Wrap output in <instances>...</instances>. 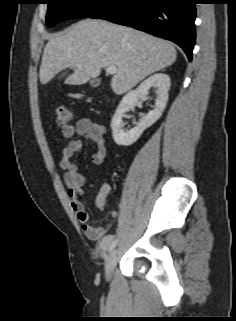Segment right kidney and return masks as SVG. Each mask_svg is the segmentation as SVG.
Returning <instances> with one entry per match:
<instances>
[{"label":"right kidney","instance_id":"ca27d5eb","mask_svg":"<svg viewBox=\"0 0 236 321\" xmlns=\"http://www.w3.org/2000/svg\"><path fill=\"white\" fill-rule=\"evenodd\" d=\"M170 77L165 73H156L145 79L135 90L128 92L121 100L111 121L112 136L118 145L129 146L136 142L143 131L152 126L162 115L170 89ZM151 87L157 88V100L153 110L143 116L139 123L129 131H124L123 117L135 103L146 96Z\"/></svg>","mask_w":236,"mask_h":321}]
</instances>
